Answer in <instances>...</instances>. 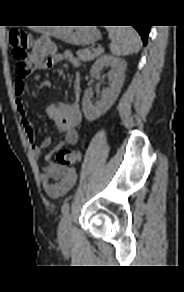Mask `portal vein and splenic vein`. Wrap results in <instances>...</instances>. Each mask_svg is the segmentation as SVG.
I'll use <instances>...</instances> for the list:
<instances>
[{
  "label": "portal vein and splenic vein",
  "mask_w": 184,
  "mask_h": 292,
  "mask_svg": "<svg viewBox=\"0 0 184 292\" xmlns=\"http://www.w3.org/2000/svg\"><path fill=\"white\" fill-rule=\"evenodd\" d=\"M98 51L103 52V49L102 48H98Z\"/></svg>",
  "instance_id": "18ae733b"
}]
</instances>
